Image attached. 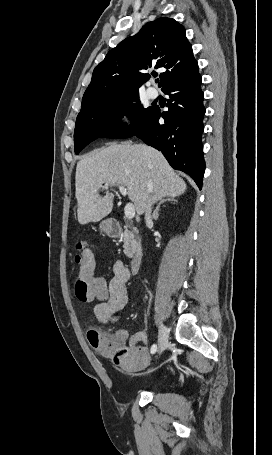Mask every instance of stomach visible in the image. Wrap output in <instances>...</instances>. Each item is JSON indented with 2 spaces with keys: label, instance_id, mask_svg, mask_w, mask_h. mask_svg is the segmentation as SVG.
Listing matches in <instances>:
<instances>
[{
  "label": "stomach",
  "instance_id": "stomach-1",
  "mask_svg": "<svg viewBox=\"0 0 272 455\" xmlns=\"http://www.w3.org/2000/svg\"><path fill=\"white\" fill-rule=\"evenodd\" d=\"M100 229L102 232L107 233L110 230V222L109 221H103L100 224Z\"/></svg>",
  "mask_w": 272,
  "mask_h": 455
}]
</instances>
